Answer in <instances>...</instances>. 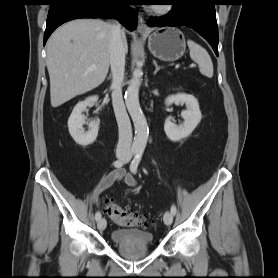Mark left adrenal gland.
<instances>
[{
  "label": "left adrenal gland",
  "instance_id": "a2214340",
  "mask_svg": "<svg viewBox=\"0 0 278 278\" xmlns=\"http://www.w3.org/2000/svg\"><path fill=\"white\" fill-rule=\"evenodd\" d=\"M153 64L155 65V71H154V75H155L162 67L158 66L155 60H153Z\"/></svg>",
  "mask_w": 278,
  "mask_h": 278
}]
</instances>
